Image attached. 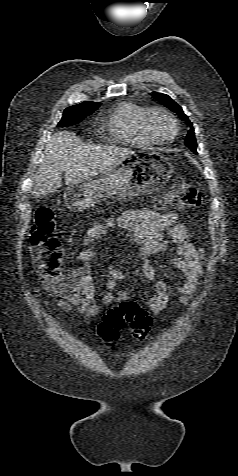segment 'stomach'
Segmentation results:
<instances>
[{
	"mask_svg": "<svg viewBox=\"0 0 238 476\" xmlns=\"http://www.w3.org/2000/svg\"><path fill=\"white\" fill-rule=\"evenodd\" d=\"M173 172L167 156H159L157 151H137L98 177L69 186L64 203L72 211H85L114 195H152Z\"/></svg>",
	"mask_w": 238,
	"mask_h": 476,
	"instance_id": "1",
	"label": "stomach"
}]
</instances>
